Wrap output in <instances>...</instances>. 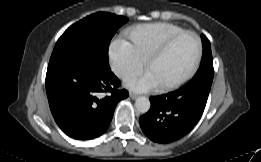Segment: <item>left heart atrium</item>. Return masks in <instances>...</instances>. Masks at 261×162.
I'll list each match as a JSON object with an SVG mask.
<instances>
[{"instance_id": "left-heart-atrium-1", "label": "left heart atrium", "mask_w": 261, "mask_h": 162, "mask_svg": "<svg viewBox=\"0 0 261 162\" xmlns=\"http://www.w3.org/2000/svg\"><path fill=\"white\" fill-rule=\"evenodd\" d=\"M126 85L130 89L138 91V92L152 91V90L158 88L159 86H161L158 79L149 70H147L144 74H142L139 77L129 79L126 82Z\"/></svg>"}]
</instances>
